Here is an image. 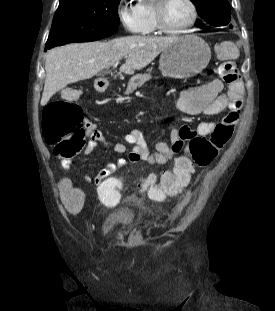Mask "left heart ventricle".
<instances>
[{
  "label": "left heart ventricle",
  "mask_w": 275,
  "mask_h": 311,
  "mask_svg": "<svg viewBox=\"0 0 275 311\" xmlns=\"http://www.w3.org/2000/svg\"><path fill=\"white\" fill-rule=\"evenodd\" d=\"M163 19L168 28H181L191 19V9L185 0H170L164 9Z\"/></svg>",
  "instance_id": "b2bd125f"
}]
</instances>
